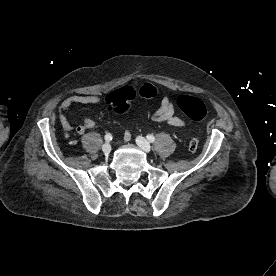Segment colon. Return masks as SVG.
I'll return each mask as SVG.
<instances>
[{"instance_id":"1","label":"colon","mask_w":276,"mask_h":276,"mask_svg":"<svg viewBox=\"0 0 276 276\" xmlns=\"http://www.w3.org/2000/svg\"><path fill=\"white\" fill-rule=\"evenodd\" d=\"M156 88L152 84H144L139 95L143 99H149L156 95ZM136 97V91L131 87H124L108 96L109 105L118 113H124L130 109ZM178 108L192 121H201L206 114V108L201 100L189 95H180L176 99ZM187 149L194 153L198 149V141L190 140Z\"/></svg>"}]
</instances>
